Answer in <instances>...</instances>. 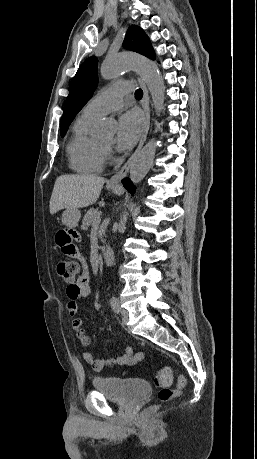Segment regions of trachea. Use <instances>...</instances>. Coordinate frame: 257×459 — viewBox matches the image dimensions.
Returning <instances> with one entry per match:
<instances>
[{
  "label": "trachea",
  "instance_id": "3493384b",
  "mask_svg": "<svg viewBox=\"0 0 257 459\" xmlns=\"http://www.w3.org/2000/svg\"><path fill=\"white\" fill-rule=\"evenodd\" d=\"M135 97H136L137 99H141V98L143 97V91H142L141 89H137V90L135 91Z\"/></svg>",
  "mask_w": 257,
  "mask_h": 459
}]
</instances>
